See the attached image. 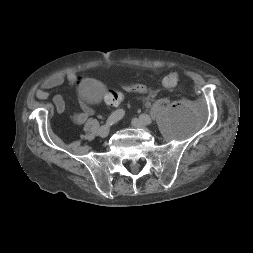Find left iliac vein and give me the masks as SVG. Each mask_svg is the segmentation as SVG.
Instances as JSON below:
<instances>
[{"label": "left iliac vein", "mask_w": 253, "mask_h": 253, "mask_svg": "<svg viewBox=\"0 0 253 253\" xmlns=\"http://www.w3.org/2000/svg\"><path fill=\"white\" fill-rule=\"evenodd\" d=\"M152 122V118L149 117L147 122H144L141 119L134 118L131 121V125L135 128H140V129H146V126L149 125Z\"/></svg>", "instance_id": "left-iliac-vein-1"}]
</instances>
